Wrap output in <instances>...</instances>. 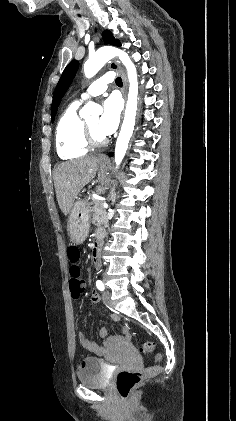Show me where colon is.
<instances>
[{"mask_svg": "<svg viewBox=\"0 0 236 421\" xmlns=\"http://www.w3.org/2000/svg\"><path fill=\"white\" fill-rule=\"evenodd\" d=\"M68 257L73 264L70 268L69 289L71 296L77 299L84 291V281L81 278V271L76 265L80 258L78 247L70 246L68 248ZM154 348V343L148 341L142 345L141 351L143 354L149 355L153 353ZM159 372V366H150L139 371L122 370L116 376L117 390L122 398L127 399L145 378L156 375Z\"/></svg>", "mask_w": 236, "mask_h": 421, "instance_id": "colon-1", "label": "colon"}]
</instances>
